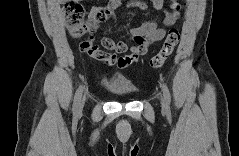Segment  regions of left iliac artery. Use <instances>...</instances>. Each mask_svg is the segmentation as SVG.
<instances>
[{"mask_svg": "<svg viewBox=\"0 0 239 156\" xmlns=\"http://www.w3.org/2000/svg\"><path fill=\"white\" fill-rule=\"evenodd\" d=\"M162 90H163V95H164L166 105L167 107H169L171 103V96H170L169 89L165 83L162 84Z\"/></svg>", "mask_w": 239, "mask_h": 156, "instance_id": "44dca946", "label": "left iliac artery"}]
</instances>
